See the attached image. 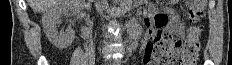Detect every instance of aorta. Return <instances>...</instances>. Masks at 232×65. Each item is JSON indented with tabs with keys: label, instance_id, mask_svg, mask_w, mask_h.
<instances>
[{
	"label": "aorta",
	"instance_id": "762f6f07",
	"mask_svg": "<svg viewBox=\"0 0 232 65\" xmlns=\"http://www.w3.org/2000/svg\"><path fill=\"white\" fill-rule=\"evenodd\" d=\"M121 8L125 11H129L132 6V0H120Z\"/></svg>",
	"mask_w": 232,
	"mask_h": 65
}]
</instances>
